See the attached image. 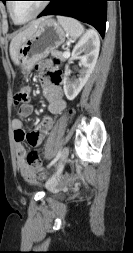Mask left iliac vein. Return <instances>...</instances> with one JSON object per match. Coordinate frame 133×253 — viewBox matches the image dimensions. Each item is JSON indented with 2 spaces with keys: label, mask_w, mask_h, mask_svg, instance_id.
Listing matches in <instances>:
<instances>
[{
  "label": "left iliac vein",
  "mask_w": 133,
  "mask_h": 253,
  "mask_svg": "<svg viewBox=\"0 0 133 253\" xmlns=\"http://www.w3.org/2000/svg\"><path fill=\"white\" fill-rule=\"evenodd\" d=\"M68 155H69V148L68 147H65L62 152H61V155H60V159H59V162L58 164L56 165L57 167H61L64 165L66 159L68 158Z\"/></svg>",
  "instance_id": "obj_1"
}]
</instances>
